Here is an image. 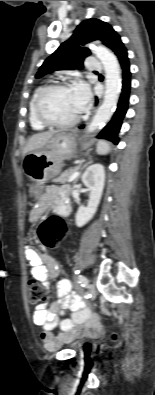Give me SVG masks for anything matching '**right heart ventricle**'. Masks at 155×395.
<instances>
[{
    "instance_id": "e07e8e85",
    "label": "right heart ventricle",
    "mask_w": 155,
    "mask_h": 395,
    "mask_svg": "<svg viewBox=\"0 0 155 395\" xmlns=\"http://www.w3.org/2000/svg\"><path fill=\"white\" fill-rule=\"evenodd\" d=\"M41 89H42L41 86L38 87V88L34 91L32 97H31V99H30V101H29V123H30L31 127H32L34 130H37V131H41V130L45 129V127H46V126L42 125V124L36 119L35 114H34V108H33V107H34V100H35V97H36V95L38 94V92H39Z\"/></svg>"
}]
</instances>
